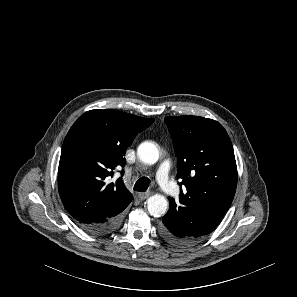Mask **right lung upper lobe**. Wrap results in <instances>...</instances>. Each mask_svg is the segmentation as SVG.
I'll return each mask as SVG.
<instances>
[{
    "label": "right lung upper lobe",
    "instance_id": "right-lung-upper-lobe-1",
    "mask_svg": "<svg viewBox=\"0 0 297 297\" xmlns=\"http://www.w3.org/2000/svg\"><path fill=\"white\" fill-rule=\"evenodd\" d=\"M154 121L113 109H95L70 128L62 146L58 188L65 208L81 226L101 223L129 205L132 196L122 179L107 180L115 169L125 166L127 147Z\"/></svg>",
    "mask_w": 297,
    "mask_h": 297
}]
</instances>
